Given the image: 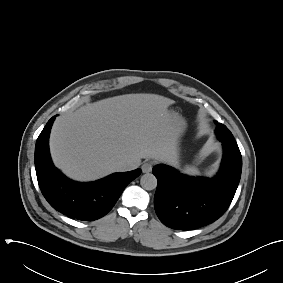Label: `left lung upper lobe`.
<instances>
[{
  "label": "left lung upper lobe",
  "mask_w": 283,
  "mask_h": 283,
  "mask_svg": "<svg viewBox=\"0 0 283 283\" xmlns=\"http://www.w3.org/2000/svg\"><path fill=\"white\" fill-rule=\"evenodd\" d=\"M215 123H217V121H215ZM216 134L220 139V141L227 142L233 146H238L232 133L228 130V128L225 125L218 123L216 128Z\"/></svg>",
  "instance_id": "5c2ea615"
}]
</instances>
